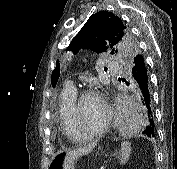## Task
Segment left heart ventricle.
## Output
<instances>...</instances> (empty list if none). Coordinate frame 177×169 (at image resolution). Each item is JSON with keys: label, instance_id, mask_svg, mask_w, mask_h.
I'll return each mask as SVG.
<instances>
[{"label": "left heart ventricle", "instance_id": "b2bd125f", "mask_svg": "<svg viewBox=\"0 0 177 169\" xmlns=\"http://www.w3.org/2000/svg\"><path fill=\"white\" fill-rule=\"evenodd\" d=\"M106 118L103 102L95 96L85 97L79 107V132L84 134L102 126Z\"/></svg>", "mask_w": 177, "mask_h": 169}]
</instances>
